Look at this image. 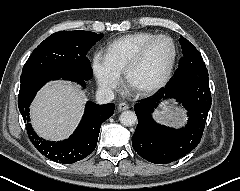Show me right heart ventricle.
<instances>
[{
    "mask_svg": "<svg viewBox=\"0 0 240 191\" xmlns=\"http://www.w3.org/2000/svg\"><path fill=\"white\" fill-rule=\"evenodd\" d=\"M155 35L151 32H136L119 37L108 44L106 55L112 64L123 72L143 44Z\"/></svg>",
    "mask_w": 240,
    "mask_h": 191,
    "instance_id": "1",
    "label": "right heart ventricle"
}]
</instances>
